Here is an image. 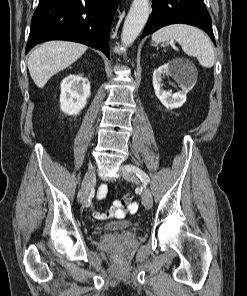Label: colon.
I'll return each mask as SVG.
<instances>
[{"label":"colon","mask_w":247,"mask_h":296,"mask_svg":"<svg viewBox=\"0 0 247 296\" xmlns=\"http://www.w3.org/2000/svg\"><path fill=\"white\" fill-rule=\"evenodd\" d=\"M133 193L129 192V193H126L121 200H118L117 201V205L118 207H121V206H124V205H129L132 200H133ZM132 211H136V209H132ZM111 215L113 216H120L121 215V211H116L114 213H112Z\"/></svg>","instance_id":"obj_1"}]
</instances>
